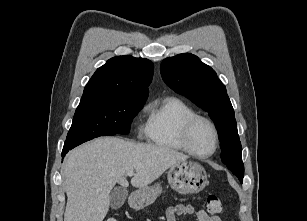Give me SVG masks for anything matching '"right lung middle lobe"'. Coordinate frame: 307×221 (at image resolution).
I'll list each match as a JSON object with an SVG mask.
<instances>
[{
    "label": "right lung middle lobe",
    "mask_w": 307,
    "mask_h": 221,
    "mask_svg": "<svg viewBox=\"0 0 307 221\" xmlns=\"http://www.w3.org/2000/svg\"><path fill=\"white\" fill-rule=\"evenodd\" d=\"M146 99L135 96H105L80 102L63 151L99 136L128 134L130 124Z\"/></svg>",
    "instance_id": "dd1d6c3e"
}]
</instances>
